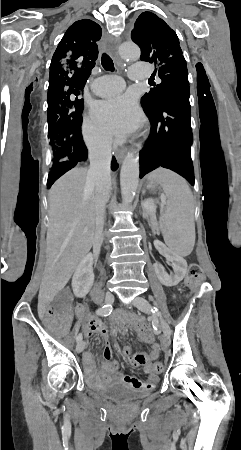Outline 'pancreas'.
I'll return each mask as SVG.
<instances>
[{
	"instance_id": "cf45deb5",
	"label": "pancreas",
	"mask_w": 241,
	"mask_h": 450,
	"mask_svg": "<svg viewBox=\"0 0 241 450\" xmlns=\"http://www.w3.org/2000/svg\"><path fill=\"white\" fill-rule=\"evenodd\" d=\"M150 220H155L154 216H150Z\"/></svg>"
}]
</instances>
